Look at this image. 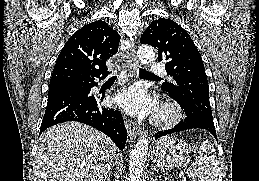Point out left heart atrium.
I'll return each mask as SVG.
<instances>
[{
  "label": "left heart atrium",
  "mask_w": 259,
  "mask_h": 181,
  "mask_svg": "<svg viewBox=\"0 0 259 181\" xmlns=\"http://www.w3.org/2000/svg\"><path fill=\"white\" fill-rule=\"evenodd\" d=\"M115 101L125 111L138 117L148 116L157 111L154 100L139 86H131L122 91L116 96Z\"/></svg>",
  "instance_id": "1"
}]
</instances>
